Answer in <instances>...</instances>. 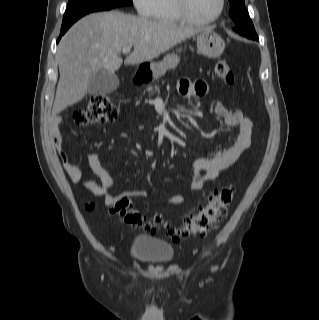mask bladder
Returning a JSON list of instances; mask_svg holds the SVG:
<instances>
[{
	"mask_svg": "<svg viewBox=\"0 0 319 320\" xmlns=\"http://www.w3.org/2000/svg\"><path fill=\"white\" fill-rule=\"evenodd\" d=\"M129 252L133 259L144 263H167L175 255L170 243L145 235L134 236Z\"/></svg>",
	"mask_w": 319,
	"mask_h": 320,
	"instance_id": "1",
	"label": "bladder"
}]
</instances>
